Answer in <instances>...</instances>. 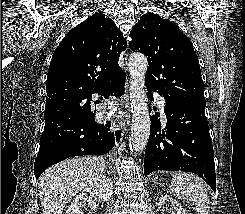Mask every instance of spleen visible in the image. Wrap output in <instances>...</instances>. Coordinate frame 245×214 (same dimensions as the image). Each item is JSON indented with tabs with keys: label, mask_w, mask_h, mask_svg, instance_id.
I'll return each mask as SVG.
<instances>
[{
	"label": "spleen",
	"mask_w": 245,
	"mask_h": 214,
	"mask_svg": "<svg viewBox=\"0 0 245 214\" xmlns=\"http://www.w3.org/2000/svg\"><path fill=\"white\" fill-rule=\"evenodd\" d=\"M171 190L178 199L190 200L195 204L197 214H209V196L204 183L193 173L172 174Z\"/></svg>",
	"instance_id": "1"
}]
</instances>
